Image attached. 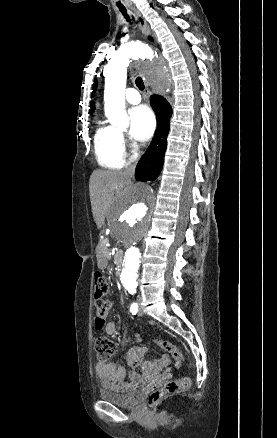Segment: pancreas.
I'll return each instance as SVG.
<instances>
[{
	"label": "pancreas",
	"mask_w": 277,
	"mask_h": 438,
	"mask_svg": "<svg viewBox=\"0 0 277 438\" xmlns=\"http://www.w3.org/2000/svg\"><path fill=\"white\" fill-rule=\"evenodd\" d=\"M103 239H101L97 246L96 251L97 253H113L114 246L113 244H107L106 240L110 239L111 234L108 231L103 232L102 234Z\"/></svg>",
	"instance_id": "pancreas-1"
}]
</instances>
